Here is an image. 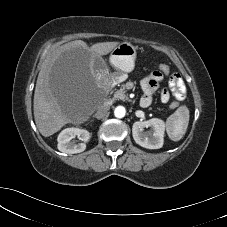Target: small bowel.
<instances>
[{"mask_svg":"<svg viewBox=\"0 0 227 227\" xmlns=\"http://www.w3.org/2000/svg\"><path fill=\"white\" fill-rule=\"evenodd\" d=\"M163 80V74L160 71H153L141 81V88L143 96L141 98V105L148 107L151 105L154 93L159 89L160 82ZM169 88L163 89L160 93V98L163 103L170 100L171 93L174 98L181 101L185 98L186 86L179 74H172L169 77Z\"/></svg>","mask_w":227,"mask_h":227,"instance_id":"1","label":"small bowel"}]
</instances>
